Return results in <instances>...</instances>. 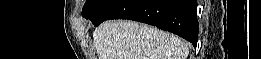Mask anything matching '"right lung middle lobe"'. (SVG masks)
Wrapping results in <instances>:
<instances>
[{
    "label": "right lung middle lobe",
    "mask_w": 261,
    "mask_h": 59,
    "mask_svg": "<svg viewBox=\"0 0 261 59\" xmlns=\"http://www.w3.org/2000/svg\"><path fill=\"white\" fill-rule=\"evenodd\" d=\"M113 1L114 0H86L82 10V16L85 18L95 16Z\"/></svg>",
    "instance_id": "1"
}]
</instances>
